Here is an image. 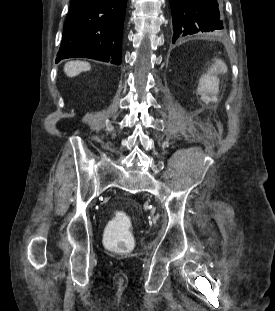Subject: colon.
Segmentation results:
<instances>
[{"instance_id": "1", "label": "colon", "mask_w": 275, "mask_h": 311, "mask_svg": "<svg viewBox=\"0 0 275 311\" xmlns=\"http://www.w3.org/2000/svg\"><path fill=\"white\" fill-rule=\"evenodd\" d=\"M130 227L129 216L121 211L115 212L113 219L107 224L105 244L120 252L131 251L135 246V241L130 232Z\"/></svg>"}]
</instances>
